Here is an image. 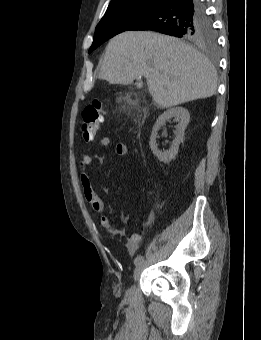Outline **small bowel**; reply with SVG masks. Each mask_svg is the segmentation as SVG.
<instances>
[{
    "label": "small bowel",
    "mask_w": 261,
    "mask_h": 340,
    "mask_svg": "<svg viewBox=\"0 0 261 340\" xmlns=\"http://www.w3.org/2000/svg\"><path fill=\"white\" fill-rule=\"evenodd\" d=\"M109 137H102L100 139L99 145L101 148H106L110 145ZM115 155L119 157H123L127 154V146L124 143H117L114 147ZM94 162H97L100 166L105 165V160L103 157H100L93 153L84 154L79 162L80 166V183L83 192V196L85 200L88 202L90 208L96 213H102L104 211V205L101 198L95 192L91 185V181L89 176L86 173V169L91 166ZM154 216L150 215L147 221V224L150 225L153 222ZM100 224L103 229L108 231L114 237H125V232L119 229H116L111 224L110 220L107 216H102L100 218ZM142 240V235L140 233H135L127 238L126 240V248L130 254H134L138 249Z\"/></svg>",
    "instance_id": "1"
}]
</instances>
